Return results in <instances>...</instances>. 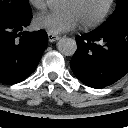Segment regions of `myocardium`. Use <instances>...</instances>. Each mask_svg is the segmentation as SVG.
I'll return each mask as SVG.
<instances>
[{
	"label": "myocardium",
	"instance_id": "1",
	"mask_svg": "<svg viewBox=\"0 0 128 128\" xmlns=\"http://www.w3.org/2000/svg\"><path fill=\"white\" fill-rule=\"evenodd\" d=\"M116 0H108L105 8L102 10V12L96 17L94 20L87 22V23H81V27L85 30L93 29L101 25L105 19L108 17L109 13L111 12Z\"/></svg>",
	"mask_w": 128,
	"mask_h": 128
}]
</instances>
